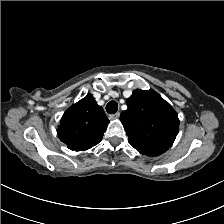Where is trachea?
<instances>
[{
    "mask_svg": "<svg viewBox=\"0 0 224 224\" xmlns=\"http://www.w3.org/2000/svg\"><path fill=\"white\" fill-rule=\"evenodd\" d=\"M118 110V104L116 101H110L107 105H106V111L109 114H114L116 113Z\"/></svg>",
    "mask_w": 224,
    "mask_h": 224,
    "instance_id": "obj_1",
    "label": "trachea"
}]
</instances>
